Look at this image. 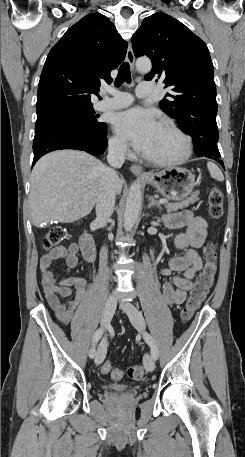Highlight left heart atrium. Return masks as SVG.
I'll return each instance as SVG.
<instances>
[{
    "instance_id": "1",
    "label": "left heart atrium",
    "mask_w": 245,
    "mask_h": 457,
    "mask_svg": "<svg viewBox=\"0 0 245 457\" xmlns=\"http://www.w3.org/2000/svg\"><path fill=\"white\" fill-rule=\"evenodd\" d=\"M114 128L137 150L144 151L156 137L160 125L150 110L136 107L119 113Z\"/></svg>"
}]
</instances>
